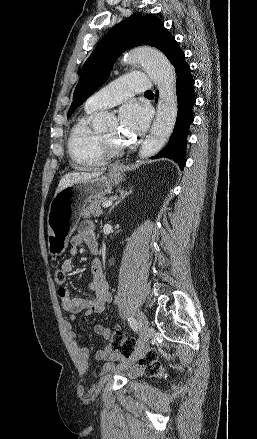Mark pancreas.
I'll return each mask as SVG.
<instances>
[{
  "label": "pancreas",
  "mask_w": 257,
  "mask_h": 439,
  "mask_svg": "<svg viewBox=\"0 0 257 439\" xmlns=\"http://www.w3.org/2000/svg\"><path fill=\"white\" fill-rule=\"evenodd\" d=\"M107 201V198L105 197H98L94 200L90 201L86 206L83 208L81 215L82 217H97L103 214V210L101 209V205Z\"/></svg>",
  "instance_id": "obj_1"
}]
</instances>
